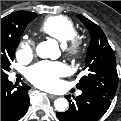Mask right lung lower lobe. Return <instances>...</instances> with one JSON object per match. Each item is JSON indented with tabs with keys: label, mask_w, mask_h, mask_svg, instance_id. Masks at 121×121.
Wrapping results in <instances>:
<instances>
[{
	"label": "right lung lower lobe",
	"mask_w": 121,
	"mask_h": 121,
	"mask_svg": "<svg viewBox=\"0 0 121 121\" xmlns=\"http://www.w3.org/2000/svg\"><path fill=\"white\" fill-rule=\"evenodd\" d=\"M29 88L26 84L16 87L8 78L1 79V121H17L25 115Z\"/></svg>",
	"instance_id": "obj_1"
}]
</instances>
